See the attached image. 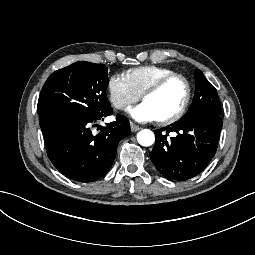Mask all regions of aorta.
<instances>
[{
    "instance_id": "obj_1",
    "label": "aorta",
    "mask_w": 255,
    "mask_h": 255,
    "mask_svg": "<svg viewBox=\"0 0 255 255\" xmlns=\"http://www.w3.org/2000/svg\"><path fill=\"white\" fill-rule=\"evenodd\" d=\"M137 141L142 146H151L155 141L154 133L151 130L144 129L137 134Z\"/></svg>"
}]
</instances>
